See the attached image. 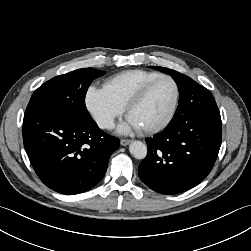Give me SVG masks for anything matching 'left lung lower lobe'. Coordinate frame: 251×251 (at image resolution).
Here are the masks:
<instances>
[{
	"instance_id": "1",
	"label": "left lung lower lobe",
	"mask_w": 251,
	"mask_h": 251,
	"mask_svg": "<svg viewBox=\"0 0 251 251\" xmlns=\"http://www.w3.org/2000/svg\"><path fill=\"white\" fill-rule=\"evenodd\" d=\"M221 137L220 112L209 90L182 95L168 127L146 139L148 153L138 169L141 180L166 195L193 188L213 168Z\"/></svg>"
}]
</instances>
